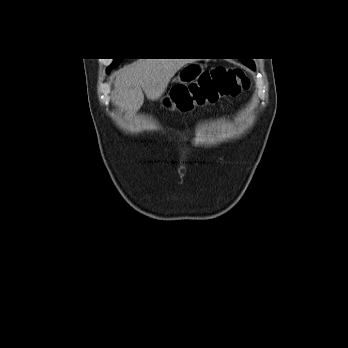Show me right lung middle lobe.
I'll use <instances>...</instances> for the list:
<instances>
[{
	"label": "right lung middle lobe",
	"instance_id": "right-lung-middle-lobe-1",
	"mask_svg": "<svg viewBox=\"0 0 348 348\" xmlns=\"http://www.w3.org/2000/svg\"><path fill=\"white\" fill-rule=\"evenodd\" d=\"M123 59H115L113 64L108 67L107 71L110 72L113 68H115Z\"/></svg>",
	"mask_w": 348,
	"mask_h": 348
}]
</instances>
